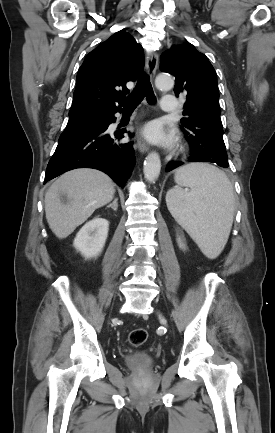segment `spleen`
Segmentation results:
<instances>
[{
    "label": "spleen",
    "instance_id": "spleen-1",
    "mask_svg": "<svg viewBox=\"0 0 275 433\" xmlns=\"http://www.w3.org/2000/svg\"><path fill=\"white\" fill-rule=\"evenodd\" d=\"M177 186L167 192V207L205 256L216 258L223 250L233 223L234 193L226 174L203 163L176 170ZM181 187H189L190 192Z\"/></svg>",
    "mask_w": 275,
    "mask_h": 433
}]
</instances>
